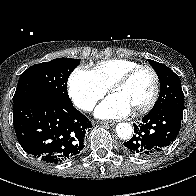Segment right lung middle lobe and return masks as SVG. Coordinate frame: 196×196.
<instances>
[{"mask_svg":"<svg viewBox=\"0 0 196 196\" xmlns=\"http://www.w3.org/2000/svg\"><path fill=\"white\" fill-rule=\"evenodd\" d=\"M79 63V59L57 58L29 67L19 78L13 102L35 95H52L72 104L67 81Z\"/></svg>","mask_w":196,"mask_h":196,"instance_id":"dd1d6c3e","label":"right lung middle lobe"}]
</instances>
